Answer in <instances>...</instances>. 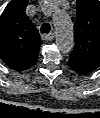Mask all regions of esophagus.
<instances>
[{
	"instance_id": "34e87169",
	"label": "esophagus",
	"mask_w": 100,
	"mask_h": 118,
	"mask_svg": "<svg viewBox=\"0 0 100 118\" xmlns=\"http://www.w3.org/2000/svg\"><path fill=\"white\" fill-rule=\"evenodd\" d=\"M41 37H42L43 40L51 41V40L54 39L55 33L51 32L49 34H43Z\"/></svg>"
}]
</instances>
